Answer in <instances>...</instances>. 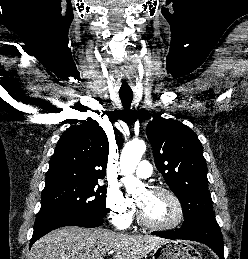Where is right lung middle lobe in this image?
Wrapping results in <instances>:
<instances>
[{"mask_svg": "<svg viewBox=\"0 0 248 259\" xmlns=\"http://www.w3.org/2000/svg\"><path fill=\"white\" fill-rule=\"evenodd\" d=\"M55 210L78 214L95 220L102 219L106 208V187L98 181H59L46 183L40 211Z\"/></svg>", "mask_w": 248, "mask_h": 259, "instance_id": "1", "label": "right lung middle lobe"}]
</instances>
